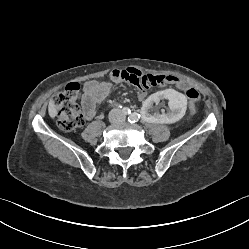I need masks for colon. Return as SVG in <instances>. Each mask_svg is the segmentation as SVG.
<instances>
[{
    "label": "colon",
    "instance_id": "colon-1",
    "mask_svg": "<svg viewBox=\"0 0 249 249\" xmlns=\"http://www.w3.org/2000/svg\"><path fill=\"white\" fill-rule=\"evenodd\" d=\"M164 83H175L180 88L184 89L185 95L190 102L191 115H195L200 95L198 90L191 87L187 81L178 79L174 76L143 74L142 86L145 89ZM80 90L81 88L78 83H69L54 97L53 105L57 113L58 126L64 131H74L84 124V116L77 105Z\"/></svg>",
    "mask_w": 249,
    "mask_h": 249
}]
</instances>
